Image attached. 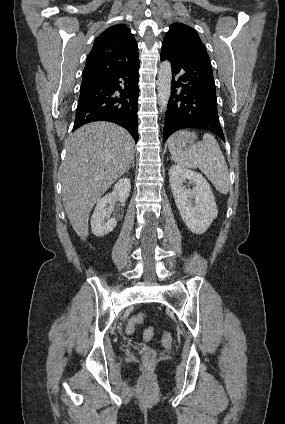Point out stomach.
<instances>
[{"instance_id":"0dacf381","label":"stomach","mask_w":285,"mask_h":424,"mask_svg":"<svg viewBox=\"0 0 285 424\" xmlns=\"http://www.w3.org/2000/svg\"><path fill=\"white\" fill-rule=\"evenodd\" d=\"M177 134L173 135L171 138H176V143H181V145L183 147H188L189 145H191L195 142L196 136L195 137L177 138L176 137Z\"/></svg>"}]
</instances>
